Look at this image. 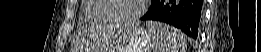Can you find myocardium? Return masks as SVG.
I'll list each match as a JSON object with an SVG mask.
<instances>
[{
  "mask_svg": "<svg viewBox=\"0 0 261 52\" xmlns=\"http://www.w3.org/2000/svg\"><path fill=\"white\" fill-rule=\"evenodd\" d=\"M114 1H117V0H107L106 8H105L108 11L113 23H117V24H132V23H135L137 20L140 19V17L144 14V12L146 10V1L140 0V7L137 10V12L135 14H133L132 16H129L128 18L114 17L113 13H112L113 9L115 7V5L113 3Z\"/></svg>",
  "mask_w": 261,
  "mask_h": 52,
  "instance_id": "1",
  "label": "myocardium"
}]
</instances>
